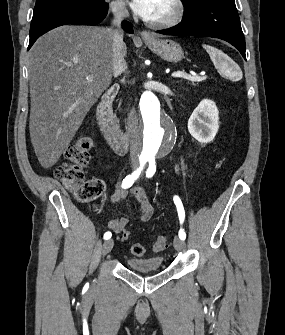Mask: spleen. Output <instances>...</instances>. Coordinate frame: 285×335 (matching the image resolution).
Wrapping results in <instances>:
<instances>
[{
	"label": "spleen",
	"instance_id": "spleen-1",
	"mask_svg": "<svg viewBox=\"0 0 285 335\" xmlns=\"http://www.w3.org/2000/svg\"><path fill=\"white\" fill-rule=\"evenodd\" d=\"M203 48L206 50L207 54H209L217 70H226V68H228L227 64L223 62L224 54L221 52V50H216V48H212V46H206V44H203Z\"/></svg>",
	"mask_w": 285,
	"mask_h": 335
}]
</instances>
